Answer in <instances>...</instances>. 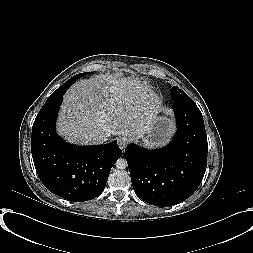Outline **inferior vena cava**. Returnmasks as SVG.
Listing matches in <instances>:
<instances>
[{
    "mask_svg": "<svg viewBox=\"0 0 253 253\" xmlns=\"http://www.w3.org/2000/svg\"><path fill=\"white\" fill-rule=\"evenodd\" d=\"M108 137V135H102L97 139V141L98 143H105L108 140Z\"/></svg>",
    "mask_w": 253,
    "mask_h": 253,
    "instance_id": "602c4592",
    "label": "inferior vena cava"
}]
</instances>
